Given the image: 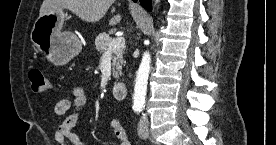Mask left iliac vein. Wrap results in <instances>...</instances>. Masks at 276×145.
<instances>
[{"label": "left iliac vein", "instance_id": "obj_1", "mask_svg": "<svg viewBox=\"0 0 276 145\" xmlns=\"http://www.w3.org/2000/svg\"><path fill=\"white\" fill-rule=\"evenodd\" d=\"M138 135L142 139H146L149 136V121L148 118L144 115L141 117L138 125Z\"/></svg>", "mask_w": 276, "mask_h": 145}]
</instances>
